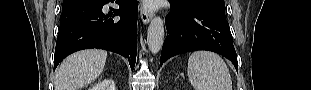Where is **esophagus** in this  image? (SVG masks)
Wrapping results in <instances>:
<instances>
[{"instance_id": "1", "label": "esophagus", "mask_w": 311, "mask_h": 90, "mask_svg": "<svg viewBox=\"0 0 311 90\" xmlns=\"http://www.w3.org/2000/svg\"><path fill=\"white\" fill-rule=\"evenodd\" d=\"M140 17L144 24H147L152 18V14L145 9L143 4L141 5V8H140Z\"/></svg>"}]
</instances>
